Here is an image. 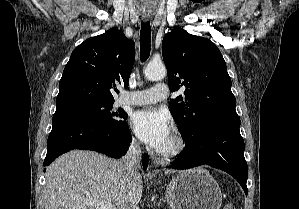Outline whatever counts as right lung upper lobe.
<instances>
[{
  "instance_id": "right-lung-upper-lobe-1",
  "label": "right lung upper lobe",
  "mask_w": 299,
  "mask_h": 209,
  "mask_svg": "<svg viewBox=\"0 0 299 209\" xmlns=\"http://www.w3.org/2000/svg\"><path fill=\"white\" fill-rule=\"evenodd\" d=\"M134 59V42L118 29L87 39L74 49L64 68L56 105L114 102L116 85L128 87Z\"/></svg>"
}]
</instances>
